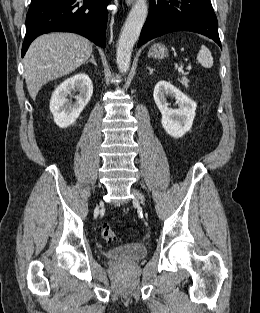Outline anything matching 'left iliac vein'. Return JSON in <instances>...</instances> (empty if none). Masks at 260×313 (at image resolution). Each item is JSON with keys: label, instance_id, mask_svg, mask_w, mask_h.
Returning <instances> with one entry per match:
<instances>
[{"label": "left iliac vein", "instance_id": "1", "mask_svg": "<svg viewBox=\"0 0 260 313\" xmlns=\"http://www.w3.org/2000/svg\"><path fill=\"white\" fill-rule=\"evenodd\" d=\"M133 193H134V195H135L134 200H135V201H140L141 204L144 205V197H143V195H142L138 190H136V189H133Z\"/></svg>", "mask_w": 260, "mask_h": 313}]
</instances>
